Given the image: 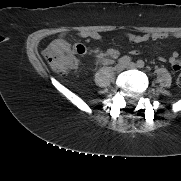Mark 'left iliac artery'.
Masks as SVG:
<instances>
[{
	"label": "left iliac artery",
	"instance_id": "1",
	"mask_svg": "<svg viewBox=\"0 0 181 181\" xmlns=\"http://www.w3.org/2000/svg\"><path fill=\"white\" fill-rule=\"evenodd\" d=\"M145 65L144 61L143 60H138L137 61V66L140 67V68H143Z\"/></svg>",
	"mask_w": 181,
	"mask_h": 181
}]
</instances>
